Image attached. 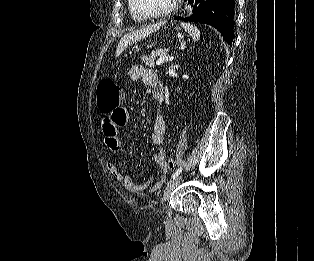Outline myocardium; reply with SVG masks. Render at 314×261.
Masks as SVG:
<instances>
[{
  "label": "myocardium",
  "instance_id": "obj_1",
  "mask_svg": "<svg viewBox=\"0 0 314 261\" xmlns=\"http://www.w3.org/2000/svg\"><path fill=\"white\" fill-rule=\"evenodd\" d=\"M179 1L180 0H172L170 5L166 9L159 12H155V13H148V12L143 11L141 7L139 6L138 0H133V6H134L135 11L138 13V15L144 19L162 18V17H166L170 15L178 6Z\"/></svg>",
  "mask_w": 314,
  "mask_h": 261
}]
</instances>
